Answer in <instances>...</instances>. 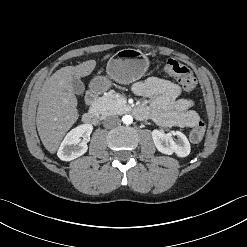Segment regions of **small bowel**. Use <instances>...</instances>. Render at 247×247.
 <instances>
[{"label":"small bowel","mask_w":247,"mask_h":247,"mask_svg":"<svg viewBox=\"0 0 247 247\" xmlns=\"http://www.w3.org/2000/svg\"><path fill=\"white\" fill-rule=\"evenodd\" d=\"M132 91L150 99V105L139 108L142 116L151 117L162 126L194 127L200 117L192 110L193 102L182 98L181 88L168 80L150 77L133 84Z\"/></svg>","instance_id":"obj_1"}]
</instances>
